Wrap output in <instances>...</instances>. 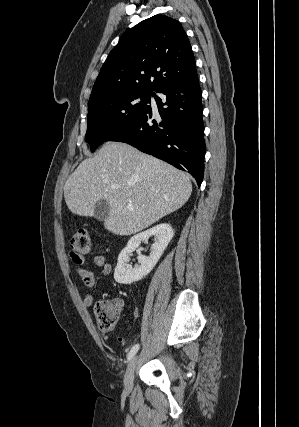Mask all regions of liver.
<instances>
[{
    "label": "liver",
    "mask_w": 299,
    "mask_h": 427,
    "mask_svg": "<svg viewBox=\"0 0 299 427\" xmlns=\"http://www.w3.org/2000/svg\"><path fill=\"white\" fill-rule=\"evenodd\" d=\"M191 192L184 172L121 142H108L93 158L82 161L64 186L65 202L79 216H94L95 204L107 200L110 211L104 227L121 236L178 210Z\"/></svg>",
    "instance_id": "liver-1"
}]
</instances>
